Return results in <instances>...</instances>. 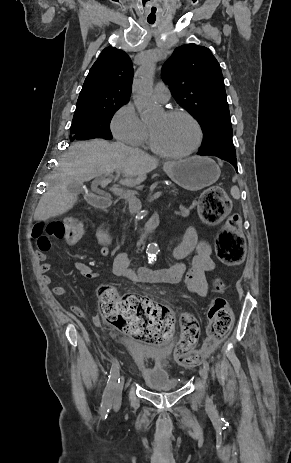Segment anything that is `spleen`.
Returning a JSON list of instances; mask_svg holds the SVG:
<instances>
[{"label":"spleen","instance_id":"3e777b00","mask_svg":"<svg viewBox=\"0 0 291 463\" xmlns=\"http://www.w3.org/2000/svg\"><path fill=\"white\" fill-rule=\"evenodd\" d=\"M231 195L233 196L234 199H239L240 198V192L237 186H233L231 188Z\"/></svg>","mask_w":291,"mask_h":463}]
</instances>
